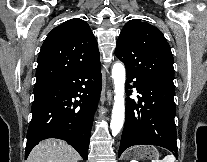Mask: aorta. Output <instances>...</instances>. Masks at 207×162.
Returning a JSON list of instances; mask_svg holds the SVG:
<instances>
[{"label":"aorta","mask_w":207,"mask_h":162,"mask_svg":"<svg viewBox=\"0 0 207 162\" xmlns=\"http://www.w3.org/2000/svg\"><path fill=\"white\" fill-rule=\"evenodd\" d=\"M112 78L114 82V105L110 128L112 135L116 136L123 127L125 105H124V88H125V67L121 62H117L112 68Z\"/></svg>","instance_id":"762f6f07"}]
</instances>
